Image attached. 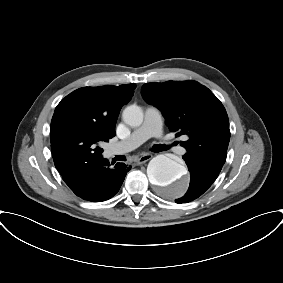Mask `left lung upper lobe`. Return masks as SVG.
<instances>
[{
  "mask_svg": "<svg viewBox=\"0 0 283 283\" xmlns=\"http://www.w3.org/2000/svg\"><path fill=\"white\" fill-rule=\"evenodd\" d=\"M142 95L162 111L171 131L187 137L180 142L187 151L183 158L220 173L226 161L230 130L219 99L196 81L146 83Z\"/></svg>",
  "mask_w": 283,
  "mask_h": 283,
  "instance_id": "1",
  "label": "left lung upper lobe"
}]
</instances>
